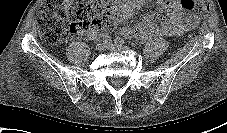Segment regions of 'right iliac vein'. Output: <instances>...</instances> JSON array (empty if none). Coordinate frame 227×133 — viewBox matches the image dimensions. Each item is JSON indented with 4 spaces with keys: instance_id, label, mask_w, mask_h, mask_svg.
<instances>
[{
    "instance_id": "right-iliac-vein-1",
    "label": "right iliac vein",
    "mask_w": 227,
    "mask_h": 133,
    "mask_svg": "<svg viewBox=\"0 0 227 133\" xmlns=\"http://www.w3.org/2000/svg\"><path fill=\"white\" fill-rule=\"evenodd\" d=\"M108 44H106L104 41L103 42H99L97 45H96V49L98 51H104L108 48Z\"/></svg>"
}]
</instances>
